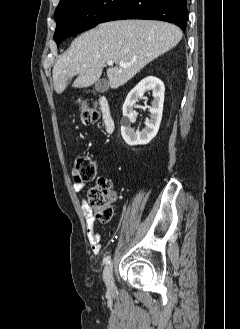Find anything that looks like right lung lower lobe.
Instances as JSON below:
<instances>
[{
    "instance_id": "obj_1",
    "label": "right lung lower lobe",
    "mask_w": 240,
    "mask_h": 329,
    "mask_svg": "<svg viewBox=\"0 0 240 329\" xmlns=\"http://www.w3.org/2000/svg\"><path fill=\"white\" fill-rule=\"evenodd\" d=\"M187 18V0H124L101 23L122 19L161 20L185 31Z\"/></svg>"
}]
</instances>
